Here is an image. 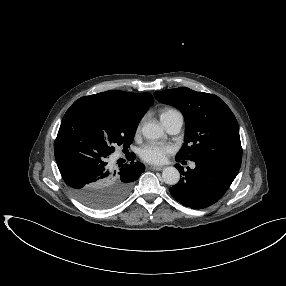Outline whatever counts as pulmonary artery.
Here are the masks:
<instances>
[{
	"label": "pulmonary artery",
	"mask_w": 286,
	"mask_h": 286,
	"mask_svg": "<svg viewBox=\"0 0 286 286\" xmlns=\"http://www.w3.org/2000/svg\"><path fill=\"white\" fill-rule=\"evenodd\" d=\"M183 116L180 112L170 116L168 119H166L164 122H163V125L165 127V129L167 130L168 133L170 134H177L182 126H183ZM195 163L192 162L190 163V167L191 168H195Z\"/></svg>",
	"instance_id": "e3ab8cb5"
}]
</instances>
